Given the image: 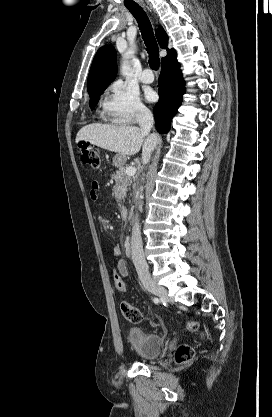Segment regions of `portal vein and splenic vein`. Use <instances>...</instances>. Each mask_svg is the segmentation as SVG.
I'll return each instance as SVG.
<instances>
[{
	"label": "portal vein and splenic vein",
	"mask_w": 272,
	"mask_h": 417,
	"mask_svg": "<svg viewBox=\"0 0 272 417\" xmlns=\"http://www.w3.org/2000/svg\"><path fill=\"white\" fill-rule=\"evenodd\" d=\"M136 171H137V169L135 167L130 166V167L126 168L125 173L128 176H134L136 174Z\"/></svg>",
	"instance_id": "18ae733b"
}]
</instances>
